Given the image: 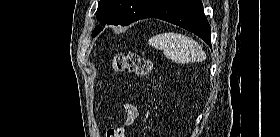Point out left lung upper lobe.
Listing matches in <instances>:
<instances>
[{
	"instance_id": "left-lung-upper-lobe-1",
	"label": "left lung upper lobe",
	"mask_w": 280,
	"mask_h": 137,
	"mask_svg": "<svg viewBox=\"0 0 280 137\" xmlns=\"http://www.w3.org/2000/svg\"><path fill=\"white\" fill-rule=\"evenodd\" d=\"M160 0H100L96 12L102 25H129L139 20ZM103 28L98 26L93 32L96 36Z\"/></svg>"
}]
</instances>
